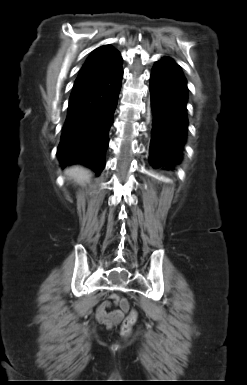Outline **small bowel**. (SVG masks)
<instances>
[{
	"label": "small bowel",
	"instance_id": "obj_1",
	"mask_svg": "<svg viewBox=\"0 0 247 385\" xmlns=\"http://www.w3.org/2000/svg\"><path fill=\"white\" fill-rule=\"evenodd\" d=\"M126 299L118 293H111L108 300L102 302L97 306L96 319L107 327H113L121 322L126 311ZM112 307H119V309L110 310Z\"/></svg>",
	"mask_w": 247,
	"mask_h": 385
}]
</instances>
